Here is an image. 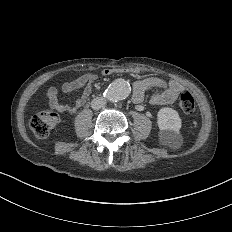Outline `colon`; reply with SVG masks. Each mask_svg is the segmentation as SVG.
Returning <instances> with one entry per match:
<instances>
[{"mask_svg": "<svg viewBox=\"0 0 232 232\" xmlns=\"http://www.w3.org/2000/svg\"><path fill=\"white\" fill-rule=\"evenodd\" d=\"M178 102L181 105L182 114H195V102H193L191 94H179ZM59 119V112L48 108V112H37V115L33 116L31 120H27V125L35 130V137H48L50 129L54 128Z\"/></svg>", "mask_w": 232, "mask_h": 232, "instance_id": "colon-1", "label": "colon"}]
</instances>
